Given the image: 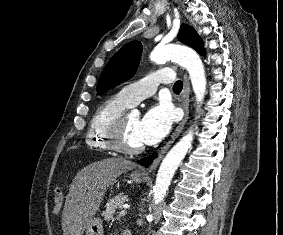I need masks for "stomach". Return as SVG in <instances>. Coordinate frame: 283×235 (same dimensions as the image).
Segmentation results:
<instances>
[{
	"mask_svg": "<svg viewBox=\"0 0 283 235\" xmlns=\"http://www.w3.org/2000/svg\"><path fill=\"white\" fill-rule=\"evenodd\" d=\"M130 178L132 181L136 183H143L146 180V176L140 174L137 171L131 172ZM85 233L86 235H104L103 224H102L101 218L99 217L92 218L85 228Z\"/></svg>",
	"mask_w": 283,
	"mask_h": 235,
	"instance_id": "1",
	"label": "stomach"
}]
</instances>
